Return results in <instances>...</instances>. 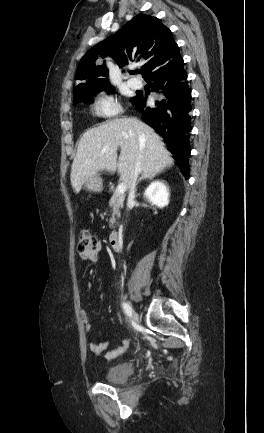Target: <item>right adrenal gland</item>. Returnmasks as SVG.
Instances as JSON below:
<instances>
[{
  "label": "right adrenal gland",
  "mask_w": 264,
  "mask_h": 433,
  "mask_svg": "<svg viewBox=\"0 0 264 433\" xmlns=\"http://www.w3.org/2000/svg\"><path fill=\"white\" fill-rule=\"evenodd\" d=\"M153 176H149V175H145V174H142V176L138 179V181H137V185L142 181V180H144V179H147V180H153Z\"/></svg>",
  "instance_id": "obj_1"
}]
</instances>
